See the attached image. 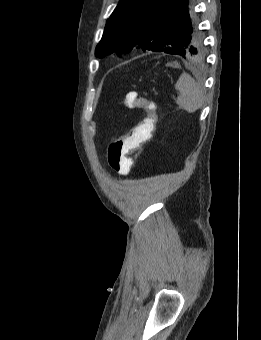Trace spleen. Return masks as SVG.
Instances as JSON below:
<instances>
[{
    "instance_id": "3e777b00",
    "label": "spleen",
    "mask_w": 261,
    "mask_h": 340,
    "mask_svg": "<svg viewBox=\"0 0 261 340\" xmlns=\"http://www.w3.org/2000/svg\"><path fill=\"white\" fill-rule=\"evenodd\" d=\"M179 91L176 103L188 113H194L204 105V93L195 79L189 74L183 73L175 84Z\"/></svg>"
}]
</instances>
